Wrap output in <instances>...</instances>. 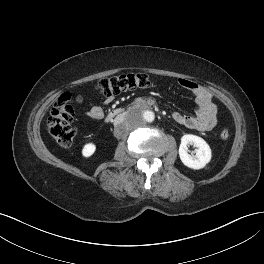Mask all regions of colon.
I'll list each match as a JSON object with an SVG mask.
<instances>
[{"label":"colon","instance_id":"5ec220e1","mask_svg":"<svg viewBox=\"0 0 264 264\" xmlns=\"http://www.w3.org/2000/svg\"><path fill=\"white\" fill-rule=\"evenodd\" d=\"M154 81L146 74H122L102 79L96 90L103 96H114L124 91L153 87ZM85 96H78L74 100L72 94L64 93L50 113L48 130L53 139L63 147H70L74 142L76 131L72 125L75 116V106H84ZM220 136L226 140L229 131L224 128Z\"/></svg>","mask_w":264,"mask_h":264}]
</instances>
